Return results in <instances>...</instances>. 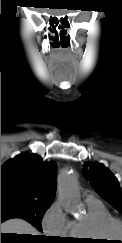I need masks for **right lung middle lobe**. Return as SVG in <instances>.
Listing matches in <instances>:
<instances>
[{
  "mask_svg": "<svg viewBox=\"0 0 122 243\" xmlns=\"http://www.w3.org/2000/svg\"><path fill=\"white\" fill-rule=\"evenodd\" d=\"M51 202L19 196H1V217L22 218L42 231L41 221Z\"/></svg>",
  "mask_w": 122,
  "mask_h": 243,
  "instance_id": "dd1d6c3e",
  "label": "right lung middle lobe"
}]
</instances>
